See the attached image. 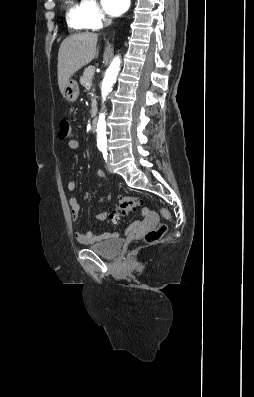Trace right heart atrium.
<instances>
[{"label": "right heart atrium", "mask_w": 254, "mask_h": 397, "mask_svg": "<svg viewBox=\"0 0 254 397\" xmlns=\"http://www.w3.org/2000/svg\"><path fill=\"white\" fill-rule=\"evenodd\" d=\"M81 10L84 21L90 29H98L106 21V16L96 0H82Z\"/></svg>", "instance_id": "1"}]
</instances>
